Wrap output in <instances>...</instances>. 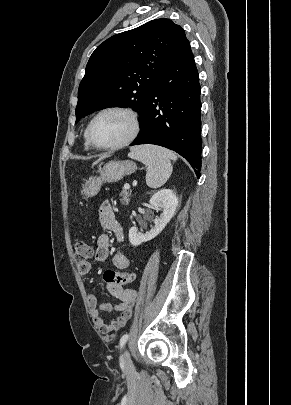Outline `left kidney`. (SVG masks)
<instances>
[{"instance_id": "left-kidney-1", "label": "left kidney", "mask_w": 291, "mask_h": 405, "mask_svg": "<svg viewBox=\"0 0 291 405\" xmlns=\"http://www.w3.org/2000/svg\"><path fill=\"white\" fill-rule=\"evenodd\" d=\"M149 203L157 212L162 213L154 220V227L146 233L139 232L136 227L130 228L129 241L133 246L150 241L161 233L175 214L178 198L171 189H161L150 198Z\"/></svg>"}]
</instances>
